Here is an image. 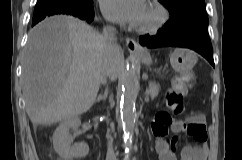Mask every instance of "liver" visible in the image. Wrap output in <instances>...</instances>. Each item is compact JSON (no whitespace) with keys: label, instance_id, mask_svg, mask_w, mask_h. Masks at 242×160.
Here are the masks:
<instances>
[{"label":"liver","instance_id":"liver-1","mask_svg":"<svg viewBox=\"0 0 242 160\" xmlns=\"http://www.w3.org/2000/svg\"><path fill=\"white\" fill-rule=\"evenodd\" d=\"M107 53L103 36L72 16L50 17L31 29L21 80L33 125H51L87 112L96 100ZM123 66L122 51L117 78Z\"/></svg>","mask_w":242,"mask_h":160}]
</instances>
